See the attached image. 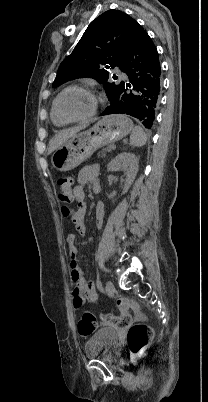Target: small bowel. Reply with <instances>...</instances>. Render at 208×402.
<instances>
[{"label": "small bowel", "instance_id": "c3829d8e", "mask_svg": "<svg viewBox=\"0 0 208 402\" xmlns=\"http://www.w3.org/2000/svg\"><path fill=\"white\" fill-rule=\"evenodd\" d=\"M98 166L97 165H87L83 167L77 176V185L73 190L74 199L78 202V207L75 210L76 218L73 221L75 224L76 231L84 235L86 232L85 225L83 223V218L86 213V205H85V191L84 186L87 183H92L93 190L96 191L99 187L98 181ZM104 217V206L103 204H98L96 208V224L98 227L102 226ZM67 242L69 245V255L72 258V277L74 280V294H75V304H81L84 299L88 301L95 302L98 300V294L96 290V285L92 281H87L79 269L77 264V249L74 245L75 243V234L70 233L67 236Z\"/></svg>", "mask_w": 208, "mask_h": 402}]
</instances>
